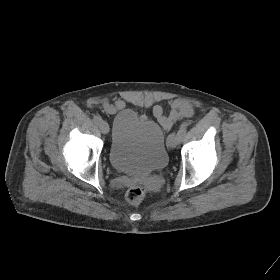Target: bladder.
I'll return each instance as SVG.
<instances>
[{
  "instance_id": "bladder-1",
  "label": "bladder",
  "mask_w": 280,
  "mask_h": 280,
  "mask_svg": "<svg viewBox=\"0 0 280 280\" xmlns=\"http://www.w3.org/2000/svg\"><path fill=\"white\" fill-rule=\"evenodd\" d=\"M111 165L134 176L148 175L166 167V134L156 121L123 109L114 118L108 149Z\"/></svg>"
}]
</instances>
